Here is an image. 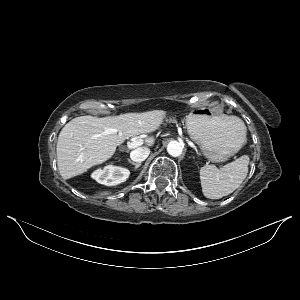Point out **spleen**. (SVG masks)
<instances>
[{
	"label": "spleen",
	"mask_w": 300,
	"mask_h": 300,
	"mask_svg": "<svg viewBox=\"0 0 300 300\" xmlns=\"http://www.w3.org/2000/svg\"><path fill=\"white\" fill-rule=\"evenodd\" d=\"M235 127L241 130L246 139L244 122L232 116ZM249 157L243 155L235 161L218 169L215 165H205L200 169L202 192L205 197L219 199L234 192L244 181L248 173Z\"/></svg>",
	"instance_id": "obj_1"
}]
</instances>
